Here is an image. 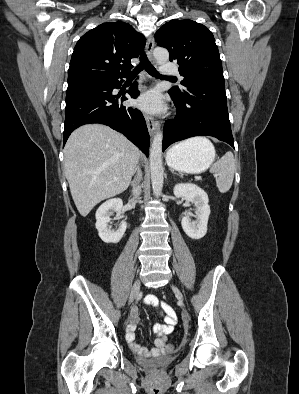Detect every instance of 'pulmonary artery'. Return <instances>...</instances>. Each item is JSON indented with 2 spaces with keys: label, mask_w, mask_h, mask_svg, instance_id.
<instances>
[{
  "label": "pulmonary artery",
  "mask_w": 299,
  "mask_h": 394,
  "mask_svg": "<svg viewBox=\"0 0 299 394\" xmlns=\"http://www.w3.org/2000/svg\"><path fill=\"white\" fill-rule=\"evenodd\" d=\"M161 75L162 76H178V71L176 68L172 67L169 64H163L161 66Z\"/></svg>",
  "instance_id": "pulmonary-artery-1"
}]
</instances>
